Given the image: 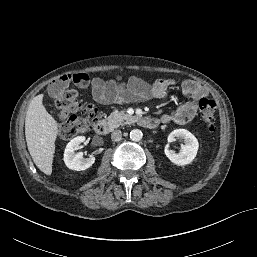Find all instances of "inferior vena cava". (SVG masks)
<instances>
[{
    "instance_id": "obj_1",
    "label": "inferior vena cava",
    "mask_w": 257,
    "mask_h": 257,
    "mask_svg": "<svg viewBox=\"0 0 257 257\" xmlns=\"http://www.w3.org/2000/svg\"><path fill=\"white\" fill-rule=\"evenodd\" d=\"M121 137H122V132L120 130H114L111 133V139L113 141H119V140H121Z\"/></svg>"
}]
</instances>
